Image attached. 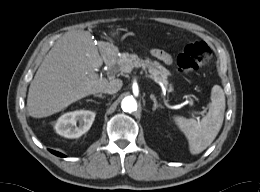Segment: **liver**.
<instances>
[{"mask_svg":"<svg viewBox=\"0 0 260 192\" xmlns=\"http://www.w3.org/2000/svg\"><path fill=\"white\" fill-rule=\"evenodd\" d=\"M100 45L98 49L88 31L68 32L58 39L30 84L29 115L47 117L77 100L102 92L108 80L96 73L106 57L105 44Z\"/></svg>","mask_w":260,"mask_h":192,"instance_id":"obj_1","label":"liver"}]
</instances>
